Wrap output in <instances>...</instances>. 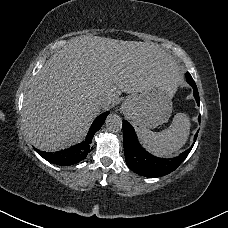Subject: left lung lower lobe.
Segmentation results:
<instances>
[{"label":"left lung lower lobe","mask_w":228,"mask_h":228,"mask_svg":"<svg viewBox=\"0 0 228 228\" xmlns=\"http://www.w3.org/2000/svg\"><path fill=\"white\" fill-rule=\"evenodd\" d=\"M186 80L194 91V97L199 105V93L197 86L189 73H186ZM200 120V117L198 118ZM123 142H124V154L128 167L135 173L154 178L167 175L174 171L188 156L192 146L181 153L178 157L170 159H162L155 157L143 149L136 137L133 127L123 120ZM198 132L194 136V142L196 141Z\"/></svg>","instance_id":"1"}]
</instances>
